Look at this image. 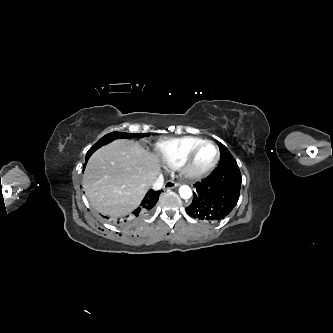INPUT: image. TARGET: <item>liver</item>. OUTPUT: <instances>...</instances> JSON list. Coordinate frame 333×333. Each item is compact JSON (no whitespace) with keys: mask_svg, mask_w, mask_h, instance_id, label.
Listing matches in <instances>:
<instances>
[{"mask_svg":"<svg viewBox=\"0 0 333 333\" xmlns=\"http://www.w3.org/2000/svg\"><path fill=\"white\" fill-rule=\"evenodd\" d=\"M159 173L155 155L134 141L119 139L90 157L83 188L96 211L120 217L140 204Z\"/></svg>","mask_w":333,"mask_h":333,"instance_id":"liver-1","label":"liver"}]
</instances>
